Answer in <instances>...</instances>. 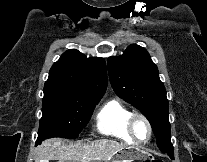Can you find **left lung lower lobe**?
<instances>
[{
	"label": "left lung lower lobe",
	"instance_id": "obj_1",
	"mask_svg": "<svg viewBox=\"0 0 207 162\" xmlns=\"http://www.w3.org/2000/svg\"><path fill=\"white\" fill-rule=\"evenodd\" d=\"M174 150V149H173ZM173 150H166L165 151V153H167L169 156H170V158L172 159V160H174V153H173Z\"/></svg>",
	"mask_w": 207,
	"mask_h": 162
}]
</instances>
